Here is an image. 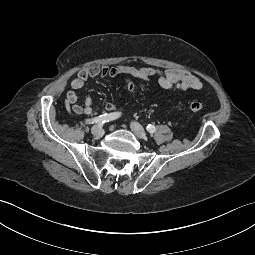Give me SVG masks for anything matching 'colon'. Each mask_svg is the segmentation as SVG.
<instances>
[{"label": "colon", "mask_w": 255, "mask_h": 255, "mask_svg": "<svg viewBox=\"0 0 255 255\" xmlns=\"http://www.w3.org/2000/svg\"><path fill=\"white\" fill-rule=\"evenodd\" d=\"M130 88L131 89H136V86L130 84ZM189 109L192 111V112H201L203 109H204V105L201 101H198V100H192L190 103H189Z\"/></svg>", "instance_id": "colon-1"}]
</instances>
